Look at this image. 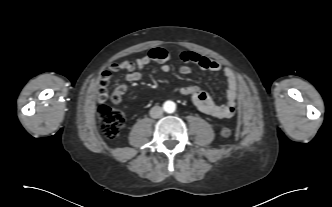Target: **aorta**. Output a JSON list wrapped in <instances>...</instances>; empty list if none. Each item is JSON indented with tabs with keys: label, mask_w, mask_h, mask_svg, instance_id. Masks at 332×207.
Wrapping results in <instances>:
<instances>
[{
	"label": "aorta",
	"mask_w": 332,
	"mask_h": 207,
	"mask_svg": "<svg viewBox=\"0 0 332 207\" xmlns=\"http://www.w3.org/2000/svg\"><path fill=\"white\" fill-rule=\"evenodd\" d=\"M163 109L167 113H173L176 110V104L173 101H166L163 104Z\"/></svg>",
	"instance_id": "obj_1"
}]
</instances>
